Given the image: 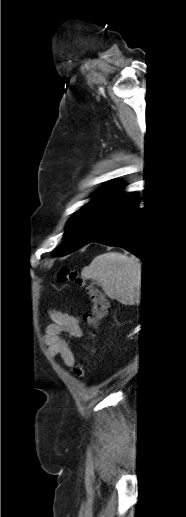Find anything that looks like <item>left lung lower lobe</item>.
Returning <instances> with one entry per match:
<instances>
[{"instance_id":"0a47b994","label":"left lung lower lobe","mask_w":186,"mask_h":517,"mask_svg":"<svg viewBox=\"0 0 186 517\" xmlns=\"http://www.w3.org/2000/svg\"><path fill=\"white\" fill-rule=\"evenodd\" d=\"M137 206V196L125 193L96 224L86 244L100 242L109 246H120L146 262L139 234L141 210Z\"/></svg>"}]
</instances>
